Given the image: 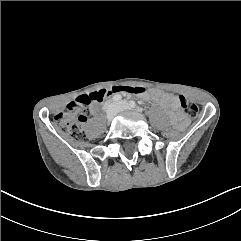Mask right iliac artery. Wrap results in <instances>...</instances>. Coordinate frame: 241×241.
I'll return each instance as SVG.
<instances>
[{
	"instance_id": "right-iliac-artery-1",
	"label": "right iliac artery",
	"mask_w": 241,
	"mask_h": 241,
	"mask_svg": "<svg viewBox=\"0 0 241 241\" xmlns=\"http://www.w3.org/2000/svg\"><path fill=\"white\" fill-rule=\"evenodd\" d=\"M121 98H122L121 95L117 94V95H115V96L113 97L112 101H113V102H118V101L121 100Z\"/></svg>"
}]
</instances>
